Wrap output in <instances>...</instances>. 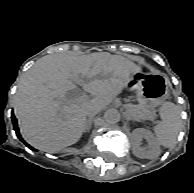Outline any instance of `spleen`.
I'll use <instances>...</instances> for the list:
<instances>
[{
	"label": "spleen",
	"mask_w": 194,
	"mask_h": 193,
	"mask_svg": "<svg viewBox=\"0 0 194 193\" xmlns=\"http://www.w3.org/2000/svg\"><path fill=\"white\" fill-rule=\"evenodd\" d=\"M159 113L161 121L155 126L154 132L158 142L162 146L170 148L175 145L181 130L180 108L174 103L166 101L162 104Z\"/></svg>",
	"instance_id": "spleen-1"
}]
</instances>
